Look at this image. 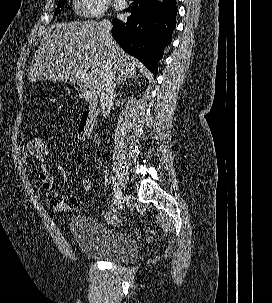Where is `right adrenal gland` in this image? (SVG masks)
<instances>
[{"label": "right adrenal gland", "instance_id": "right-adrenal-gland-1", "mask_svg": "<svg viewBox=\"0 0 272 303\" xmlns=\"http://www.w3.org/2000/svg\"><path fill=\"white\" fill-rule=\"evenodd\" d=\"M128 77H134V74H132V73L130 75L119 74L117 81H116V85H119L120 83H124Z\"/></svg>", "mask_w": 272, "mask_h": 303}]
</instances>
